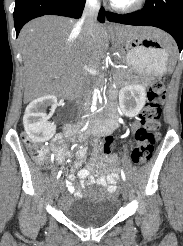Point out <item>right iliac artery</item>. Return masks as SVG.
Here are the masks:
<instances>
[{
  "label": "right iliac artery",
  "instance_id": "right-iliac-artery-1",
  "mask_svg": "<svg viewBox=\"0 0 183 246\" xmlns=\"http://www.w3.org/2000/svg\"><path fill=\"white\" fill-rule=\"evenodd\" d=\"M87 126H88V122H87L86 125L81 129V131L85 130V129L87 128ZM61 173H62V171H60V172L58 173L57 179L61 176Z\"/></svg>",
  "mask_w": 183,
  "mask_h": 246
}]
</instances>
